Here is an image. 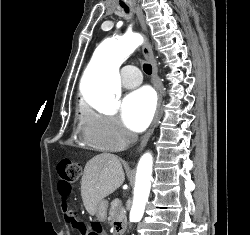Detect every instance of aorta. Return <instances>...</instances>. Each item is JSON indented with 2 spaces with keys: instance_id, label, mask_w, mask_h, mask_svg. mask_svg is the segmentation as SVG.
I'll use <instances>...</instances> for the list:
<instances>
[{
  "instance_id": "762f6f07",
  "label": "aorta",
  "mask_w": 250,
  "mask_h": 235,
  "mask_svg": "<svg viewBox=\"0 0 250 235\" xmlns=\"http://www.w3.org/2000/svg\"><path fill=\"white\" fill-rule=\"evenodd\" d=\"M143 43L140 34L132 33L116 40H104L95 50L86 70V83L83 96L91 104L110 108L118 98L121 62ZM153 157L145 153L139 160L136 172L133 205L130 221L139 222L148 201L152 181Z\"/></svg>"
}]
</instances>
